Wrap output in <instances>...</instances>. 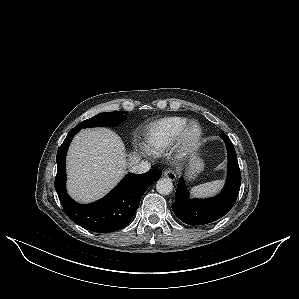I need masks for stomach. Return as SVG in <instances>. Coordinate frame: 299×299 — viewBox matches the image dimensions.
I'll use <instances>...</instances> for the list:
<instances>
[{
	"mask_svg": "<svg viewBox=\"0 0 299 299\" xmlns=\"http://www.w3.org/2000/svg\"><path fill=\"white\" fill-rule=\"evenodd\" d=\"M204 169L203 160L198 156H192L188 170L186 172V177L189 181L196 178V176Z\"/></svg>",
	"mask_w": 299,
	"mask_h": 299,
	"instance_id": "1",
	"label": "stomach"
}]
</instances>
